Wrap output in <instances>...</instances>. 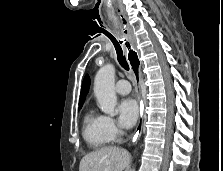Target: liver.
<instances>
[{"instance_id":"liver-1","label":"liver","mask_w":223,"mask_h":171,"mask_svg":"<svg viewBox=\"0 0 223 171\" xmlns=\"http://www.w3.org/2000/svg\"><path fill=\"white\" fill-rule=\"evenodd\" d=\"M130 161L127 150L108 146L85 155L80 161L79 171H123Z\"/></svg>"}]
</instances>
